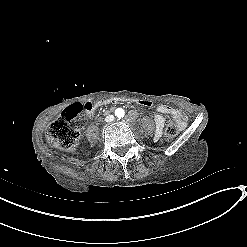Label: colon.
I'll use <instances>...</instances> for the list:
<instances>
[{"label":"colon","instance_id":"obj_1","mask_svg":"<svg viewBox=\"0 0 247 247\" xmlns=\"http://www.w3.org/2000/svg\"><path fill=\"white\" fill-rule=\"evenodd\" d=\"M126 104L137 106L139 101L134 98L109 97L89 102L87 104L75 103L67 107L61 115L49 125L46 131L48 144L63 151L74 149L77 144L80 129L87 123L88 112L91 109L110 105ZM141 105L146 107H155V102L141 100ZM178 132L177 125L170 120L166 124L165 137L171 139Z\"/></svg>","mask_w":247,"mask_h":247}]
</instances>
